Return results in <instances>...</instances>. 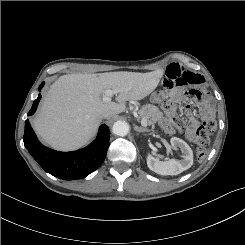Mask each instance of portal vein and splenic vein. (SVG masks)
I'll list each match as a JSON object with an SVG mask.
<instances>
[{
  "instance_id": "1",
  "label": "portal vein and splenic vein",
  "mask_w": 245,
  "mask_h": 245,
  "mask_svg": "<svg viewBox=\"0 0 245 245\" xmlns=\"http://www.w3.org/2000/svg\"><path fill=\"white\" fill-rule=\"evenodd\" d=\"M121 91H123V90H117V91H113L111 89L105 90L103 98H102L103 102H105V103L110 102L112 97H113V95L115 93H118V92H121ZM141 125L146 127L147 126V121L145 119H141Z\"/></svg>"
}]
</instances>
